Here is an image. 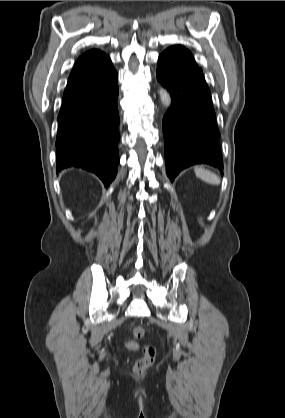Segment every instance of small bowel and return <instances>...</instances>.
<instances>
[{
    "label": "small bowel",
    "instance_id": "1",
    "mask_svg": "<svg viewBox=\"0 0 285 418\" xmlns=\"http://www.w3.org/2000/svg\"><path fill=\"white\" fill-rule=\"evenodd\" d=\"M126 347L130 350H138L139 349V344L134 342V341H129L126 343Z\"/></svg>",
    "mask_w": 285,
    "mask_h": 418
}]
</instances>
